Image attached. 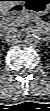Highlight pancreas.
<instances>
[{
	"label": "pancreas",
	"mask_w": 50,
	"mask_h": 111,
	"mask_svg": "<svg viewBox=\"0 0 50 111\" xmlns=\"http://www.w3.org/2000/svg\"><path fill=\"white\" fill-rule=\"evenodd\" d=\"M29 19H33L36 23L37 28L42 29L44 26V21H42L38 16L33 13H24L18 16H10L3 20V27L5 29H13L16 27H21L26 24Z\"/></svg>",
	"instance_id": "cf45deb5"
}]
</instances>
